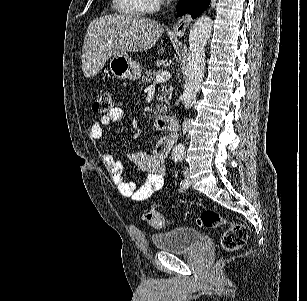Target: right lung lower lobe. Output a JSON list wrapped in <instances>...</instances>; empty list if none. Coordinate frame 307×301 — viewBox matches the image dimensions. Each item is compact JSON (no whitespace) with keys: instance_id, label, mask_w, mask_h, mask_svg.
<instances>
[{"instance_id":"1","label":"right lung lower lobe","mask_w":307,"mask_h":301,"mask_svg":"<svg viewBox=\"0 0 307 301\" xmlns=\"http://www.w3.org/2000/svg\"><path fill=\"white\" fill-rule=\"evenodd\" d=\"M211 0H182L177 4V17L190 13L193 18L203 13Z\"/></svg>"}]
</instances>
